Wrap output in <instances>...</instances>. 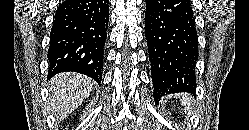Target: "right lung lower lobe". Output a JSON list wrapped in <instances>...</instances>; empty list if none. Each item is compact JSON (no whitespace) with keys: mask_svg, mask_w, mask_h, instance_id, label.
I'll return each mask as SVG.
<instances>
[{"mask_svg":"<svg viewBox=\"0 0 249 130\" xmlns=\"http://www.w3.org/2000/svg\"><path fill=\"white\" fill-rule=\"evenodd\" d=\"M108 0H66L55 14L48 49L49 78L77 72L102 79Z\"/></svg>","mask_w":249,"mask_h":130,"instance_id":"1","label":"right lung lower lobe"}]
</instances>
